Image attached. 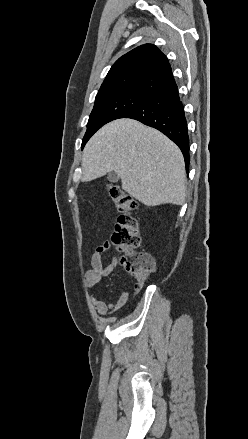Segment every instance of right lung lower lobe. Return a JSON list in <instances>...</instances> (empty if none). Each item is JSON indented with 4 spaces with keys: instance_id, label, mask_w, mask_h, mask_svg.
Returning <instances> with one entry per match:
<instances>
[{
    "instance_id": "98d812e1",
    "label": "right lung lower lobe",
    "mask_w": 248,
    "mask_h": 439,
    "mask_svg": "<svg viewBox=\"0 0 248 439\" xmlns=\"http://www.w3.org/2000/svg\"><path fill=\"white\" fill-rule=\"evenodd\" d=\"M120 118L138 120L165 134L182 151L188 172L190 162L189 137L184 108L179 98L176 83L149 96Z\"/></svg>"
}]
</instances>
